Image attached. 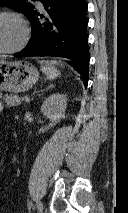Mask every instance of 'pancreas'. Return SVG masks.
<instances>
[{"label":"pancreas","instance_id":"1","mask_svg":"<svg viewBox=\"0 0 128 213\" xmlns=\"http://www.w3.org/2000/svg\"><path fill=\"white\" fill-rule=\"evenodd\" d=\"M3 98V100L7 103L9 107L17 106L21 103L22 99L16 95V94H6L3 97L0 95V99Z\"/></svg>","mask_w":128,"mask_h":213}]
</instances>
